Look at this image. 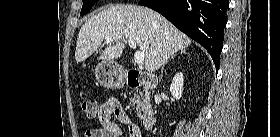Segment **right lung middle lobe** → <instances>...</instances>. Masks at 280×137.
Wrapping results in <instances>:
<instances>
[{"instance_id":"right-lung-middle-lobe-1","label":"right lung middle lobe","mask_w":280,"mask_h":137,"mask_svg":"<svg viewBox=\"0 0 280 137\" xmlns=\"http://www.w3.org/2000/svg\"><path fill=\"white\" fill-rule=\"evenodd\" d=\"M98 0H83V6L81 9V16L85 15L87 12L90 11V9L93 7V5L97 2Z\"/></svg>"}]
</instances>
